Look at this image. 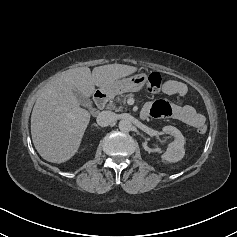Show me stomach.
Returning a JSON list of instances; mask_svg holds the SVG:
<instances>
[{
	"label": "stomach",
	"mask_w": 237,
	"mask_h": 237,
	"mask_svg": "<svg viewBox=\"0 0 237 237\" xmlns=\"http://www.w3.org/2000/svg\"><path fill=\"white\" fill-rule=\"evenodd\" d=\"M146 82L145 74H137L130 78L115 81L112 85L100 88L106 95L113 97L125 92H138Z\"/></svg>",
	"instance_id": "obj_1"
}]
</instances>
